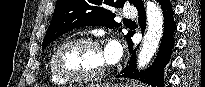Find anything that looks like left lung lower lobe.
I'll use <instances>...</instances> for the list:
<instances>
[{"mask_svg":"<svg viewBox=\"0 0 205 87\" xmlns=\"http://www.w3.org/2000/svg\"><path fill=\"white\" fill-rule=\"evenodd\" d=\"M157 2L163 11L164 35L155 62L145 71L136 70V49L133 48L134 44L130 39L128 42L129 51L131 53L129 65H127L122 73L118 74L117 77L138 79L143 83L151 85L152 87H164V68L170 61V56L174 47L175 40L173 34L176 30V24L174 22V11L170 0H157ZM135 7L138 9L139 24L142 29H145L146 18L142 1L140 0Z\"/></svg>","mask_w":205,"mask_h":87,"instance_id":"1","label":"left lung lower lobe"}]
</instances>
